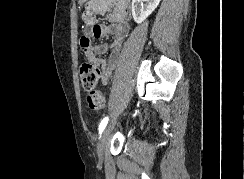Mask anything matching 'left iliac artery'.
Instances as JSON below:
<instances>
[{
	"label": "left iliac artery",
	"mask_w": 244,
	"mask_h": 179,
	"mask_svg": "<svg viewBox=\"0 0 244 179\" xmlns=\"http://www.w3.org/2000/svg\"><path fill=\"white\" fill-rule=\"evenodd\" d=\"M108 117H105L102 121H101V123H100V125H99V134H101L102 132H103V130L105 129V127H106V125H107V123H108Z\"/></svg>",
	"instance_id": "44dca946"
}]
</instances>
